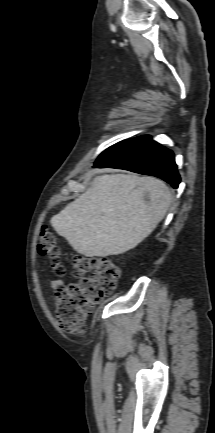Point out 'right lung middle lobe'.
<instances>
[{
    "label": "right lung middle lobe",
    "instance_id": "obj_1",
    "mask_svg": "<svg viewBox=\"0 0 215 433\" xmlns=\"http://www.w3.org/2000/svg\"><path fill=\"white\" fill-rule=\"evenodd\" d=\"M134 139L135 138L127 139L109 147L97 158L95 164L103 163L104 161L108 160L109 158L120 152L122 149H124L126 146H128L131 142H133Z\"/></svg>",
    "mask_w": 215,
    "mask_h": 433
}]
</instances>
